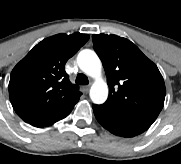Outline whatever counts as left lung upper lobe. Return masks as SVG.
<instances>
[{"label":"left lung upper lobe","instance_id":"5c2ea615","mask_svg":"<svg viewBox=\"0 0 181 164\" xmlns=\"http://www.w3.org/2000/svg\"><path fill=\"white\" fill-rule=\"evenodd\" d=\"M92 39L107 75L109 96L106 103L154 122L166 95L157 66L125 38L94 34Z\"/></svg>","mask_w":181,"mask_h":164}]
</instances>
